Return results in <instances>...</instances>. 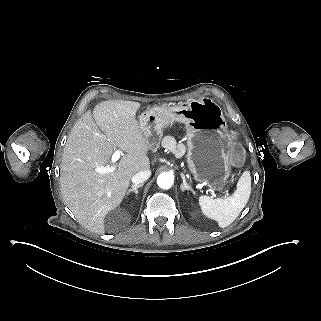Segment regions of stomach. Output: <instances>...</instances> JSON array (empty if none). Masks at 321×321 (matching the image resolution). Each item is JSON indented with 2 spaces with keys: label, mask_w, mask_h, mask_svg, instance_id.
Returning <instances> with one entry per match:
<instances>
[{
  "label": "stomach",
  "mask_w": 321,
  "mask_h": 321,
  "mask_svg": "<svg viewBox=\"0 0 321 321\" xmlns=\"http://www.w3.org/2000/svg\"><path fill=\"white\" fill-rule=\"evenodd\" d=\"M205 100L201 97L174 105L154 103L141 113L139 124L149 139L150 149L159 147L164 130L183 124L185 158L193 181L220 192L232 173L228 154L233 140L222 110L211 107Z\"/></svg>",
  "instance_id": "1"
}]
</instances>
